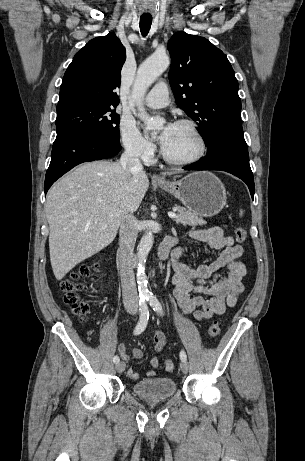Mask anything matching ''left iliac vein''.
Listing matches in <instances>:
<instances>
[{"mask_svg":"<svg viewBox=\"0 0 305 461\" xmlns=\"http://www.w3.org/2000/svg\"><path fill=\"white\" fill-rule=\"evenodd\" d=\"M180 369L183 373H187L189 370V365L186 360H182L180 363Z\"/></svg>","mask_w":305,"mask_h":461,"instance_id":"left-iliac-vein-1","label":"left iliac vein"}]
</instances>
